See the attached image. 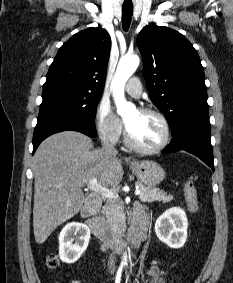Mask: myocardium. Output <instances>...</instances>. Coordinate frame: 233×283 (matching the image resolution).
<instances>
[{"label": "myocardium", "instance_id": "myocardium-1", "mask_svg": "<svg viewBox=\"0 0 233 283\" xmlns=\"http://www.w3.org/2000/svg\"><path fill=\"white\" fill-rule=\"evenodd\" d=\"M138 111L142 113H146V114L155 115L160 119L164 127V138H163V141L158 146L153 147V148H146V147L139 145L138 143L134 141L127 126L125 125V140H126L127 145L133 150L143 153V154H156V153L161 152L168 146L170 139H171V128H170V124L166 116L159 110L155 108H151V107H143V108H140Z\"/></svg>", "mask_w": 233, "mask_h": 283}]
</instances>
